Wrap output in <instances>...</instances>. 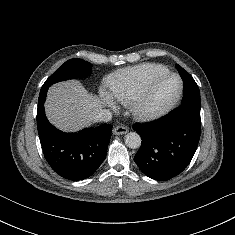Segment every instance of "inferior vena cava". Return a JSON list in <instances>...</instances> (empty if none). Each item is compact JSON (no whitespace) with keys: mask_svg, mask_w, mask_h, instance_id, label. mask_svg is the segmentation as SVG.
<instances>
[{"mask_svg":"<svg viewBox=\"0 0 235 235\" xmlns=\"http://www.w3.org/2000/svg\"><path fill=\"white\" fill-rule=\"evenodd\" d=\"M112 118V113L107 110H100L96 115H95V120L100 121V122H108Z\"/></svg>","mask_w":235,"mask_h":235,"instance_id":"obj_1","label":"inferior vena cava"}]
</instances>
